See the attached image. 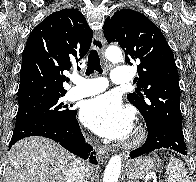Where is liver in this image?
I'll list each match as a JSON object with an SVG mask.
<instances>
[{
  "mask_svg": "<svg viewBox=\"0 0 196 182\" xmlns=\"http://www.w3.org/2000/svg\"><path fill=\"white\" fill-rule=\"evenodd\" d=\"M75 156L44 137H27L9 151L4 182H68ZM92 168L88 166L86 173Z\"/></svg>",
  "mask_w": 196,
  "mask_h": 182,
  "instance_id": "6515ba94",
  "label": "liver"
}]
</instances>
